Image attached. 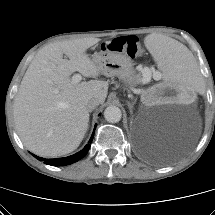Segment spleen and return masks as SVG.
Listing matches in <instances>:
<instances>
[{
    "mask_svg": "<svg viewBox=\"0 0 215 215\" xmlns=\"http://www.w3.org/2000/svg\"><path fill=\"white\" fill-rule=\"evenodd\" d=\"M145 45L163 70L165 82L184 84L186 90L193 95L203 90L204 84L198 74L197 62L190 58L183 45L175 40L153 36L146 37Z\"/></svg>",
    "mask_w": 215,
    "mask_h": 215,
    "instance_id": "spleen-1",
    "label": "spleen"
}]
</instances>
